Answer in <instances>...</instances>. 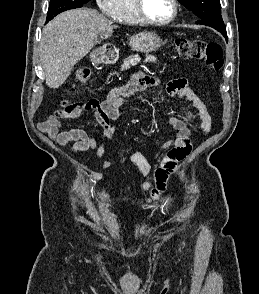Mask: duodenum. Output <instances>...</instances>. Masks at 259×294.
Instances as JSON below:
<instances>
[{"mask_svg":"<svg viewBox=\"0 0 259 294\" xmlns=\"http://www.w3.org/2000/svg\"><path fill=\"white\" fill-rule=\"evenodd\" d=\"M103 58L109 62H113L116 59L115 54L108 52L105 50Z\"/></svg>","mask_w":259,"mask_h":294,"instance_id":"1","label":"duodenum"}]
</instances>
